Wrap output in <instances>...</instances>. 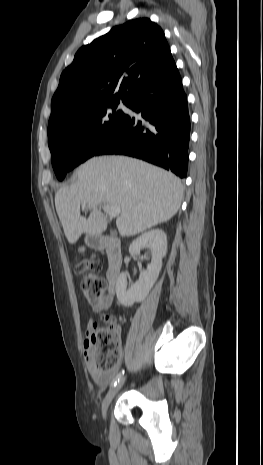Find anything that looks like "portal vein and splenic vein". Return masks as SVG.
Returning <instances> with one entry per match:
<instances>
[{
    "label": "portal vein and splenic vein",
    "instance_id": "obj_1",
    "mask_svg": "<svg viewBox=\"0 0 263 465\" xmlns=\"http://www.w3.org/2000/svg\"><path fill=\"white\" fill-rule=\"evenodd\" d=\"M86 205L82 204V208H85ZM103 210L106 214L109 215L110 218H115L120 214L121 208L120 206H110V205H104Z\"/></svg>",
    "mask_w": 263,
    "mask_h": 465
}]
</instances>
